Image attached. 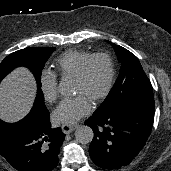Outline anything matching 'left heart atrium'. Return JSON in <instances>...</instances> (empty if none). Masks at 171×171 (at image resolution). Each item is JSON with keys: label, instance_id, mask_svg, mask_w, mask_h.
I'll use <instances>...</instances> for the list:
<instances>
[{"label": "left heart atrium", "instance_id": "left-heart-atrium-1", "mask_svg": "<svg viewBox=\"0 0 171 171\" xmlns=\"http://www.w3.org/2000/svg\"><path fill=\"white\" fill-rule=\"evenodd\" d=\"M91 111L90 101L81 94L63 99L54 110L52 119L57 124L72 125L88 115Z\"/></svg>", "mask_w": 171, "mask_h": 171}]
</instances>
